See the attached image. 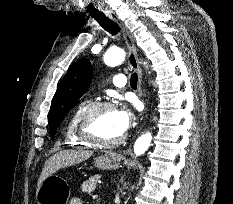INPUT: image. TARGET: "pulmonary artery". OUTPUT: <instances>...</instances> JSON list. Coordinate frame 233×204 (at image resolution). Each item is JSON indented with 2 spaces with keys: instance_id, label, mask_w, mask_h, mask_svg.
Masks as SVG:
<instances>
[{
  "instance_id": "1",
  "label": "pulmonary artery",
  "mask_w": 233,
  "mask_h": 204,
  "mask_svg": "<svg viewBox=\"0 0 233 204\" xmlns=\"http://www.w3.org/2000/svg\"><path fill=\"white\" fill-rule=\"evenodd\" d=\"M113 84L116 87H124L126 85V77L123 74H117L113 77Z\"/></svg>"
}]
</instances>
